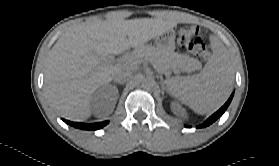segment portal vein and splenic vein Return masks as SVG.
<instances>
[{"label":"portal vein and splenic vein","mask_w":279,"mask_h":166,"mask_svg":"<svg viewBox=\"0 0 279 166\" xmlns=\"http://www.w3.org/2000/svg\"><path fill=\"white\" fill-rule=\"evenodd\" d=\"M126 60H127V57L119 59L118 62H123V61H126ZM107 61L110 62L111 59H108ZM167 74H168V73H167Z\"/></svg>","instance_id":"obj_1"}]
</instances>
